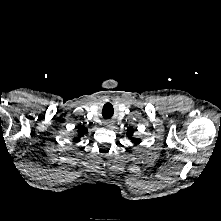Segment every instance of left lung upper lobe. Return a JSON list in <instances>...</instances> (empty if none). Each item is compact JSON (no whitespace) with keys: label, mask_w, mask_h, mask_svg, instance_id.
Segmentation results:
<instances>
[{"label":"left lung upper lobe","mask_w":221,"mask_h":221,"mask_svg":"<svg viewBox=\"0 0 221 221\" xmlns=\"http://www.w3.org/2000/svg\"><path fill=\"white\" fill-rule=\"evenodd\" d=\"M132 133H133V131L130 130V131L127 133L128 137L131 138V140H133V142H134L135 144H138V143L140 142V139H133V138H132Z\"/></svg>","instance_id":"left-lung-upper-lobe-1"}]
</instances>
